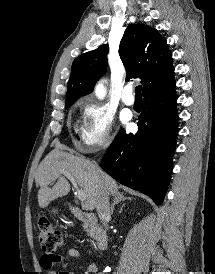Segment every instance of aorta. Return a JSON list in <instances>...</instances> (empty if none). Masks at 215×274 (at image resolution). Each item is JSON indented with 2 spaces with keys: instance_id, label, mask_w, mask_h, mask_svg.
<instances>
[{
  "instance_id": "aorta-1",
  "label": "aorta",
  "mask_w": 215,
  "mask_h": 274,
  "mask_svg": "<svg viewBox=\"0 0 215 274\" xmlns=\"http://www.w3.org/2000/svg\"><path fill=\"white\" fill-rule=\"evenodd\" d=\"M95 93H96L97 97H99L100 99H102L105 96V90H104L102 84H98L96 86Z\"/></svg>"
}]
</instances>
